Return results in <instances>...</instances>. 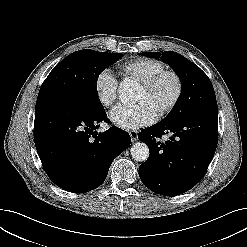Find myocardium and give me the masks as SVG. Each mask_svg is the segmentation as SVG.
<instances>
[{
	"mask_svg": "<svg viewBox=\"0 0 247 247\" xmlns=\"http://www.w3.org/2000/svg\"><path fill=\"white\" fill-rule=\"evenodd\" d=\"M166 76H170L172 77L175 82H176V90L175 93L172 97V99L170 100V102L164 106L162 109H160V111L158 112L159 117H164L168 114H170L178 105V103L180 102L183 92H184V82L183 79L181 77V75L174 71V70H162L148 78H146L145 80L141 81V86L145 89V90H150L152 89L162 78L166 77Z\"/></svg>",
	"mask_w": 247,
	"mask_h": 247,
	"instance_id": "obj_1",
	"label": "myocardium"
}]
</instances>
